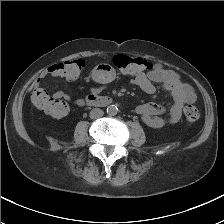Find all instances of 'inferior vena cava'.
I'll return each mask as SVG.
<instances>
[{"instance_id": "602c4592", "label": "inferior vena cava", "mask_w": 224, "mask_h": 224, "mask_svg": "<svg viewBox=\"0 0 224 224\" xmlns=\"http://www.w3.org/2000/svg\"><path fill=\"white\" fill-rule=\"evenodd\" d=\"M103 114H104V112L101 109L94 108L90 111L89 115H90L91 119H98V118L102 117Z\"/></svg>"}]
</instances>
